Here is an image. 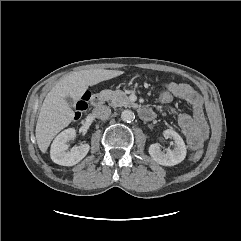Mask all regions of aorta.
<instances>
[{
	"mask_svg": "<svg viewBox=\"0 0 241 241\" xmlns=\"http://www.w3.org/2000/svg\"><path fill=\"white\" fill-rule=\"evenodd\" d=\"M135 118L134 113L131 110H124L121 113V119L125 122H131Z\"/></svg>",
	"mask_w": 241,
	"mask_h": 241,
	"instance_id": "aorta-1",
	"label": "aorta"
}]
</instances>
